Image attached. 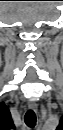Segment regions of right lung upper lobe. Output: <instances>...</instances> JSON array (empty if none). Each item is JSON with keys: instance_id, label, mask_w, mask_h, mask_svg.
Wrapping results in <instances>:
<instances>
[{"instance_id": "1", "label": "right lung upper lobe", "mask_w": 63, "mask_h": 130, "mask_svg": "<svg viewBox=\"0 0 63 130\" xmlns=\"http://www.w3.org/2000/svg\"><path fill=\"white\" fill-rule=\"evenodd\" d=\"M0 111H1V124L4 125L7 129L14 127V124L11 120L10 111L4 103H1Z\"/></svg>"}]
</instances>
